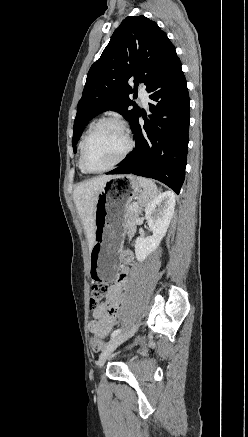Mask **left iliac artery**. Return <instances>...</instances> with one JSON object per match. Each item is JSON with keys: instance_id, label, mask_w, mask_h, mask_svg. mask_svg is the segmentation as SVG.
Wrapping results in <instances>:
<instances>
[{"instance_id": "1", "label": "left iliac artery", "mask_w": 248, "mask_h": 437, "mask_svg": "<svg viewBox=\"0 0 248 437\" xmlns=\"http://www.w3.org/2000/svg\"><path fill=\"white\" fill-rule=\"evenodd\" d=\"M121 331H122L121 329H116V330H114V331L112 332V334H111V337L113 338V337L119 335V334L121 333Z\"/></svg>"}]
</instances>
